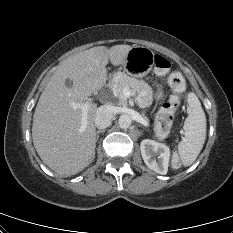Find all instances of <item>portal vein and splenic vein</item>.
Returning a JSON list of instances; mask_svg holds the SVG:
<instances>
[{
    "label": "portal vein and splenic vein",
    "mask_w": 233,
    "mask_h": 233,
    "mask_svg": "<svg viewBox=\"0 0 233 233\" xmlns=\"http://www.w3.org/2000/svg\"><path fill=\"white\" fill-rule=\"evenodd\" d=\"M123 97L125 99L130 97V92L127 89H124L123 91ZM71 106L75 109H81L82 110V125H81V130H84L86 128L87 125V112L88 109L90 108V106L92 105L91 102L86 101L83 103H79V102H71L70 103Z\"/></svg>",
    "instance_id": "1"
}]
</instances>
